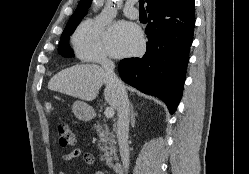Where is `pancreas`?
Wrapping results in <instances>:
<instances>
[{
  "mask_svg": "<svg viewBox=\"0 0 249 174\" xmlns=\"http://www.w3.org/2000/svg\"><path fill=\"white\" fill-rule=\"evenodd\" d=\"M93 129H96L99 136V149L102 152L101 160L106 162V165L112 167L113 159H116V141L113 132H111L106 124H95Z\"/></svg>",
  "mask_w": 249,
  "mask_h": 174,
  "instance_id": "1",
  "label": "pancreas"
}]
</instances>
